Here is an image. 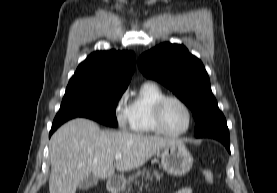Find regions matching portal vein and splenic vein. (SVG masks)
I'll use <instances>...</instances> for the list:
<instances>
[{
	"instance_id": "18ae733b",
	"label": "portal vein and splenic vein",
	"mask_w": 277,
	"mask_h": 193,
	"mask_svg": "<svg viewBox=\"0 0 277 193\" xmlns=\"http://www.w3.org/2000/svg\"><path fill=\"white\" fill-rule=\"evenodd\" d=\"M121 157H122V155H121L120 153H119V154H116V155H115V160H120Z\"/></svg>"
}]
</instances>
